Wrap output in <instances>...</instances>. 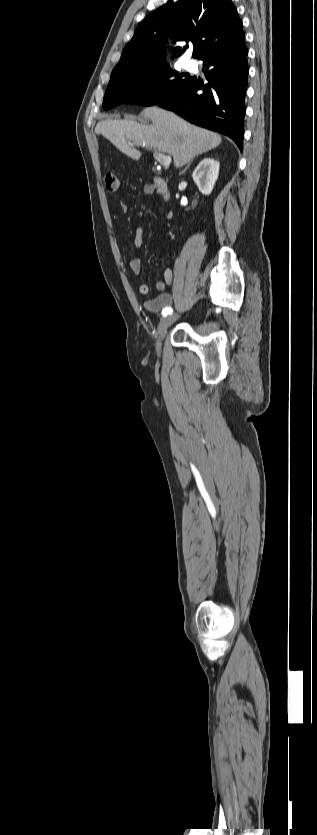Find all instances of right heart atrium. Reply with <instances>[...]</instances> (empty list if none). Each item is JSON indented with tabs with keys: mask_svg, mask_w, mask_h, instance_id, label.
Returning <instances> with one entry per match:
<instances>
[{
	"mask_svg": "<svg viewBox=\"0 0 317 835\" xmlns=\"http://www.w3.org/2000/svg\"><path fill=\"white\" fill-rule=\"evenodd\" d=\"M160 85H161V80L160 79H155L152 82H150L149 87L151 89H157V88L160 87Z\"/></svg>",
	"mask_w": 317,
	"mask_h": 835,
	"instance_id": "right-heart-atrium-1",
	"label": "right heart atrium"
}]
</instances>
